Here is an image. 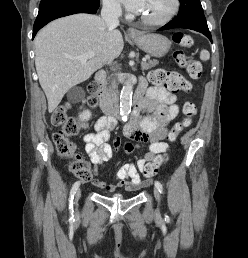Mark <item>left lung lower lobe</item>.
<instances>
[{
	"label": "left lung lower lobe",
	"instance_id": "1",
	"mask_svg": "<svg viewBox=\"0 0 248 258\" xmlns=\"http://www.w3.org/2000/svg\"><path fill=\"white\" fill-rule=\"evenodd\" d=\"M173 28H186L198 31L208 37L212 42L204 13H197L186 18L175 17L172 21L161 27L159 30H168Z\"/></svg>",
	"mask_w": 248,
	"mask_h": 258
}]
</instances>
